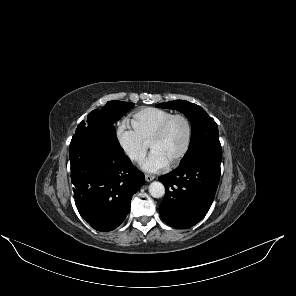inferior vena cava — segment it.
<instances>
[{"label": "inferior vena cava", "mask_w": 296, "mask_h": 296, "mask_svg": "<svg viewBox=\"0 0 296 296\" xmlns=\"http://www.w3.org/2000/svg\"><path fill=\"white\" fill-rule=\"evenodd\" d=\"M130 158L135 161H143L144 155L142 153H133L130 155Z\"/></svg>", "instance_id": "inferior-vena-cava-1"}]
</instances>
